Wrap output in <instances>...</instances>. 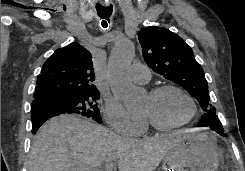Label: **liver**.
Instances as JSON below:
<instances>
[{
  "instance_id": "6515ba94",
  "label": "liver",
  "mask_w": 245,
  "mask_h": 171,
  "mask_svg": "<svg viewBox=\"0 0 245 171\" xmlns=\"http://www.w3.org/2000/svg\"><path fill=\"white\" fill-rule=\"evenodd\" d=\"M184 134L129 140L75 115L47 121L38 131L28 171H97L117 161L119 171H154Z\"/></svg>"
}]
</instances>
